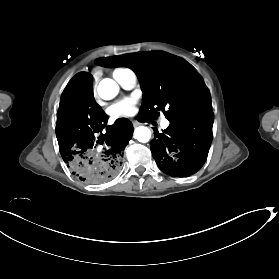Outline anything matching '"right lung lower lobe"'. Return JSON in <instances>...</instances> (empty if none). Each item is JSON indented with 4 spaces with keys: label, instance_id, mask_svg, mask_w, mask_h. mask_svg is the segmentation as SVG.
I'll return each instance as SVG.
<instances>
[{
    "label": "right lung lower lobe",
    "instance_id": "right-lung-lower-lobe-1",
    "mask_svg": "<svg viewBox=\"0 0 279 279\" xmlns=\"http://www.w3.org/2000/svg\"><path fill=\"white\" fill-rule=\"evenodd\" d=\"M92 87V75L87 72L78 73L68 83L57 113L56 136L72 174L88 184H100L120 172L134 129L124 118L107 126L108 117L95 102Z\"/></svg>",
    "mask_w": 279,
    "mask_h": 279
}]
</instances>
